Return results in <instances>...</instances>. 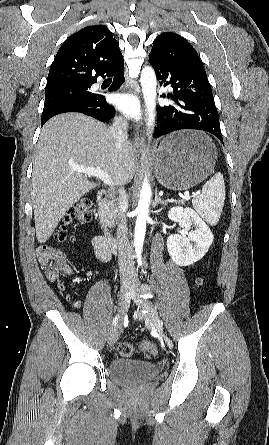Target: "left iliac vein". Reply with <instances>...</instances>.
<instances>
[{"label":"left iliac vein","instance_id":"obj_1","mask_svg":"<svg viewBox=\"0 0 269 445\" xmlns=\"http://www.w3.org/2000/svg\"><path fill=\"white\" fill-rule=\"evenodd\" d=\"M133 299L139 308L146 311V313L144 314L145 323L147 325L153 326L160 334H162V321L160 320L159 315L153 304L148 300H141L137 297H134Z\"/></svg>","mask_w":269,"mask_h":445}]
</instances>
